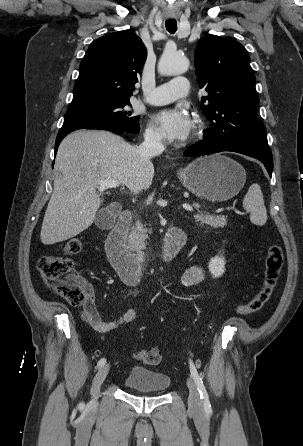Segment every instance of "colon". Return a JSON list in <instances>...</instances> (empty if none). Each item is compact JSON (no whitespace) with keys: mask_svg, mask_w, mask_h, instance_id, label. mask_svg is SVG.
Listing matches in <instances>:
<instances>
[{"mask_svg":"<svg viewBox=\"0 0 303 446\" xmlns=\"http://www.w3.org/2000/svg\"><path fill=\"white\" fill-rule=\"evenodd\" d=\"M82 250V242L78 238L69 239L64 247L62 255H45L39 258L37 269L48 284L62 299L68 303L80 306L86 301L85 294L75 271L72 256ZM283 265V252L279 245L271 244L265 259V271L263 284L260 291L246 304L239 306L236 312L247 315L260 311L269 301ZM139 362L147 365H158L162 359V353L158 348L141 349L136 352Z\"/></svg>","mask_w":303,"mask_h":446,"instance_id":"obj_1","label":"colon"}]
</instances>
